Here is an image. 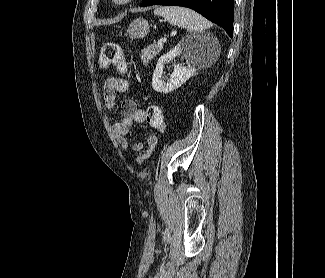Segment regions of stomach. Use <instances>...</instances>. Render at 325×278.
I'll list each match as a JSON object with an SVG mask.
<instances>
[{
	"instance_id": "1",
	"label": "stomach",
	"mask_w": 325,
	"mask_h": 278,
	"mask_svg": "<svg viewBox=\"0 0 325 278\" xmlns=\"http://www.w3.org/2000/svg\"><path fill=\"white\" fill-rule=\"evenodd\" d=\"M150 31L148 21L138 18L132 21L128 27V35L131 39L143 38Z\"/></svg>"
}]
</instances>
